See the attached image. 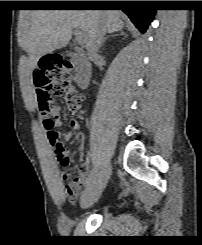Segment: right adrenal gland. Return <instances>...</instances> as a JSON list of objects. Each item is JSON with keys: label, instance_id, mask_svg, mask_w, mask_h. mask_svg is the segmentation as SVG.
<instances>
[{"label": "right adrenal gland", "instance_id": "1", "mask_svg": "<svg viewBox=\"0 0 202 245\" xmlns=\"http://www.w3.org/2000/svg\"><path fill=\"white\" fill-rule=\"evenodd\" d=\"M121 35H124V32H122V31L120 30L119 33L111 34V35L105 37L104 40H103V42H102V45H101V46H103V45L105 44V42H106L110 37L121 36Z\"/></svg>", "mask_w": 202, "mask_h": 245}]
</instances>
